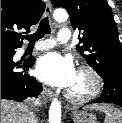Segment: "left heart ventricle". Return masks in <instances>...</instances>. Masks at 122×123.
<instances>
[{"label": "left heart ventricle", "mask_w": 122, "mask_h": 123, "mask_svg": "<svg viewBox=\"0 0 122 123\" xmlns=\"http://www.w3.org/2000/svg\"><path fill=\"white\" fill-rule=\"evenodd\" d=\"M90 86H91L90 77L85 73L77 72L76 79L69 90L75 94H83L89 90Z\"/></svg>", "instance_id": "obj_1"}]
</instances>
